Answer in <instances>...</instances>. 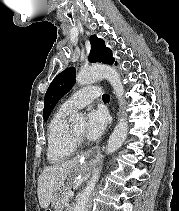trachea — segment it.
<instances>
[{
  "mask_svg": "<svg viewBox=\"0 0 179 211\" xmlns=\"http://www.w3.org/2000/svg\"><path fill=\"white\" fill-rule=\"evenodd\" d=\"M102 99H103L104 101H108V100H110V96H109L108 94H104V95L102 96Z\"/></svg>",
  "mask_w": 179,
  "mask_h": 211,
  "instance_id": "1",
  "label": "trachea"
}]
</instances>
